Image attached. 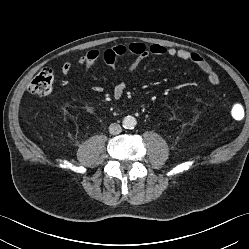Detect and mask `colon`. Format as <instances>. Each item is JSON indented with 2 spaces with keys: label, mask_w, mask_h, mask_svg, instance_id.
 Segmentation results:
<instances>
[{
  "label": "colon",
  "mask_w": 249,
  "mask_h": 249,
  "mask_svg": "<svg viewBox=\"0 0 249 249\" xmlns=\"http://www.w3.org/2000/svg\"><path fill=\"white\" fill-rule=\"evenodd\" d=\"M55 80V72L51 68L42 69L31 81L29 91L38 96L48 95L53 88ZM243 115V108L236 104L232 107V116L234 119H239Z\"/></svg>",
  "instance_id": "5ec220e1"
}]
</instances>
